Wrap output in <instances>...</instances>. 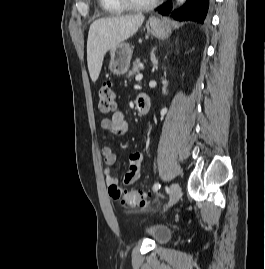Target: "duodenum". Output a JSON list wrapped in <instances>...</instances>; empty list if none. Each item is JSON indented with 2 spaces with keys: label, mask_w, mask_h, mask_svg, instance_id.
<instances>
[{
  "label": "duodenum",
  "mask_w": 265,
  "mask_h": 269,
  "mask_svg": "<svg viewBox=\"0 0 265 269\" xmlns=\"http://www.w3.org/2000/svg\"><path fill=\"white\" fill-rule=\"evenodd\" d=\"M137 110L140 115L147 114L150 108V100L146 94H139L136 99Z\"/></svg>",
  "instance_id": "obj_1"
}]
</instances>
